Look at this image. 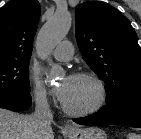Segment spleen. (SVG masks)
<instances>
[{
	"mask_svg": "<svg viewBox=\"0 0 141 139\" xmlns=\"http://www.w3.org/2000/svg\"><path fill=\"white\" fill-rule=\"evenodd\" d=\"M127 139H141V135L135 133H129L127 134Z\"/></svg>",
	"mask_w": 141,
	"mask_h": 139,
	"instance_id": "3e777b00",
	"label": "spleen"
}]
</instances>
